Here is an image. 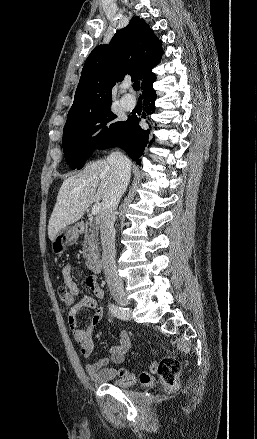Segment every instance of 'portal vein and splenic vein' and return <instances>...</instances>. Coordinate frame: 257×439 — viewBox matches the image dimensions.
I'll return each instance as SVG.
<instances>
[{"instance_id": "1", "label": "portal vein and splenic vein", "mask_w": 257, "mask_h": 439, "mask_svg": "<svg viewBox=\"0 0 257 439\" xmlns=\"http://www.w3.org/2000/svg\"><path fill=\"white\" fill-rule=\"evenodd\" d=\"M100 210H101V203L97 202L93 205L91 213L92 215H97L100 212Z\"/></svg>"}]
</instances>
